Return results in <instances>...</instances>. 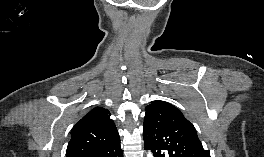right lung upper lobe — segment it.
Masks as SVG:
<instances>
[{"label": "right lung upper lobe", "instance_id": "cb5924a9", "mask_svg": "<svg viewBox=\"0 0 264 157\" xmlns=\"http://www.w3.org/2000/svg\"><path fill=\"white\" fill-rule=\"evenodd\" d=\"M107 109L96 107L71 130L66 157H95L120 142L116 126Z\"/></svg>", "mask_w": 264, "mask_h": 157}]
</instances>
